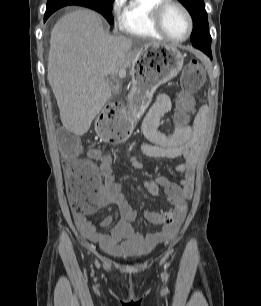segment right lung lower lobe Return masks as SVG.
I'll return each mask as SVG.
<instances>
[{"label": "right lung lower lobe", "mask_w": 261, "mask_h": 306, "mask_svg": "<svg viewBox=\"0 0 261 306\" xmlns=\"http://www.w3.org/2000/svg\"><path fill=\"white\" fill-rule=\"evenodd\" d=\"M52 13H45V16H44V21H46L48 19V17L51 15Z\"/></svg>", "instance_id": "right-lung-lower-lobe-1"}]
</instances>
